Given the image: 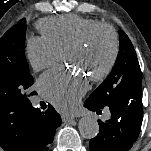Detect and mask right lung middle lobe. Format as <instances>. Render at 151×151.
Segmentation results:
<instances>
[{
    "instance_id": "right-lung-middle-lobe-1",
    "label": "right lung middle lobe",
    "mask_w": 151,
    "mask_h": 151,
    "mask_svg": "<svg viewBox=\"0 0 151 151\" xmlns=\"http://www.w3.org/2000/svg\"><path fill=\"white\" fill-rule=\"evenodd\" d=\"M26 20L21 19L0 39V99L28 101L33 84L25 58Z\"/></svg>"
}]
</instances>
